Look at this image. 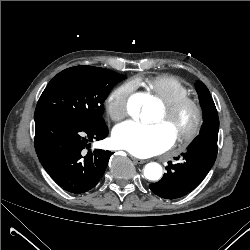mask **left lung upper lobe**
<instances>
[{"label": "left lung upper lobe", "mask_w": 250, "mask_h": 250, "mask_svg": "<svg viewBox=\"0 0 250 250\" xmlns=\"http://www.w3.org/2000/svg\"><path fill=\"white\" fill-rule=\"evenodd\" d=\"M196 90L199 95L200 105L203 109L204 116V125L200 131V134L218 130V114L208 88L202 82H197Z\"/></svg>", "instance_id": "left-lung-upper-lobe-1"}]
</instances>
